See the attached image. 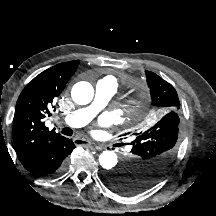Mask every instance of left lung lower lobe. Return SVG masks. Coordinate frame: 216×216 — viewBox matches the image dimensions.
I'll use <instances>...</instances> for the list:
<instances>
[{
  "label": "left lung lower lobe",
  "mask_w": 216,
  "mask_h": 216,
  "mask_svg": "<svg viewBox=\"0 0 216 216\" xmlns=\"http://www.w3.org/2000/svg\"><path fill=\"white\" fill-rule=\"evenodd\" d=\"M108 177H109V174H106L105 176H104V178H103V182L106 184V181H107V179H108ZM107 185V184H106ZM108 186V185H107ZM109 187V186H108ZM110 188V187H109ZM123 195H132V194H123Z\"/></svg>",
  "instance_id": "1"
}]
</instances>
